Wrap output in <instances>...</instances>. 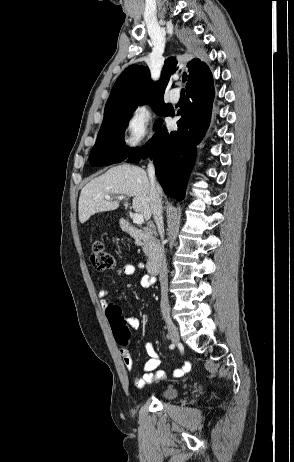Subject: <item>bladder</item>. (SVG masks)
I'll use <instances>...</instances> for the list:
<instances>
[{"instance_id": "1", "label": "bladder", "mask_w": 294, "mask_h": 462, "mask_svg": "<svg viewBox=\"0 0 294 462\" xmlns=\"http://www.w3.org/2000/svg\"><path fill=\"white\" fill-rule=\"evenodd\" d=\"M179 393V388L177 386H167L160 392V397L163 399H172L176 397Z\"/></svg>"}]
</instances>
